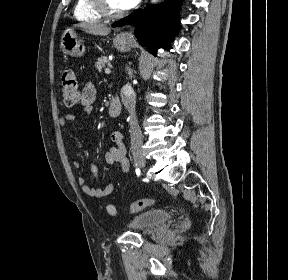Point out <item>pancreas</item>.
<instances>
[{"label": "pancreas", "instance_id": "pancreas-1", "mask_svg": "<svg viewBox=\"0 0 288 280\" xmlns=\"http://www.w3.org/2000/svg\"><path fill=\"white\" fill-rule=\"evenodd\" d=\"M105 65H110V62L106 56L98 58L97 62H95V67L98 71H101Z\"/></svg>", "mask_w": 288, "mask_h": 280}]
</instances>
